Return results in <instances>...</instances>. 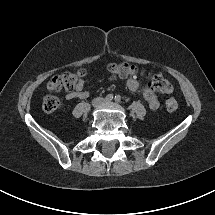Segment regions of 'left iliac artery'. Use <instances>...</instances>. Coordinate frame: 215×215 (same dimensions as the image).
I'll list each match as a JSON object with an SVG mask.
<instances>
[{"mask_svg": "<svg viewBox=\"0 0 215 215\" xmlns=\"http://www.w3.org/2000/svg\"><path fill=\"white\" fill-rule=\"evenodd\" d=\"M115 101L116 102H120L121 101V97L119 95L115 96Z\"/></svg>", "mask_w": 215, "mask_h": 215, "instance_id": "44dca946", "label": "left iliac artery"}]
</instances>
